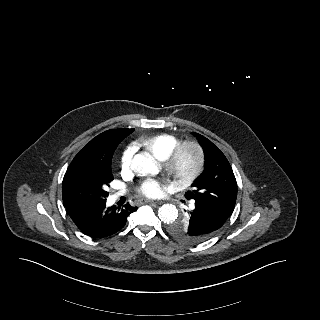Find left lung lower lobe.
I'll return each instance as SVG.
<instances>
[{"mask_svg": "<svg viewBox=\"0 0 320 320\" xmlns=\"http://www.w3.org/2000/svg\"><path fill=\"white\" fill-rule=\"evenodd\" d=\"M228 218L195 202V208L190 212L188 222L191 227L190 233L200 242L212 237L226 222Z\"/></svg>", "mask_w": 320, "mask_h": 320, "instance_id": "0a47b994", "label": "left lung lower lobe"}]
</instances>
